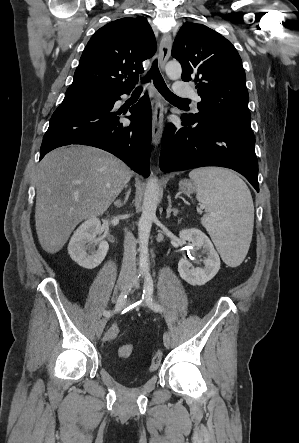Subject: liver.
Returning <instances> with one entry per match:
<instances>
[{
  "instance_id": "6515ba94",
  "label": "liver",
  "mask_w": 299,
  "mask_h": 443,
  "mask_svg": "<svg viewBox=\"0 0 299 443\" xmlns=\"http://www.w3.org/2000/svg\"><path fill=\"white\" fill-rule=\"evenodd\" d=\"M131 169L88 146L48 153L36 175L35 226L41 247L54 254L84 219L102 215L129 182Z\"/></svg>"
}]
</instances>
